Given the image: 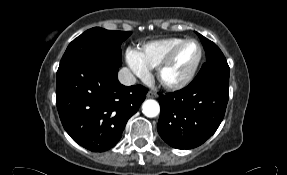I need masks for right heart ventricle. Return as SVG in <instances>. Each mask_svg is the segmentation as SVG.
<instances>
[{"label": "right heart ventricle", "mask_w": 287, "mask_h": 175, "mask_svg": "<svg viewBox=\"0 0 287 175\" xmlns=\"http://www.w3.org/2000/svg\"><path fill=\"white\" fill-rule=\"evenodd\" d=\"M183 40V38L171 37L150 41L140 46L137 52L140 60L148 69H155L166 55Z\"/></svg>", "instance_id": "1"}]
</instances>
